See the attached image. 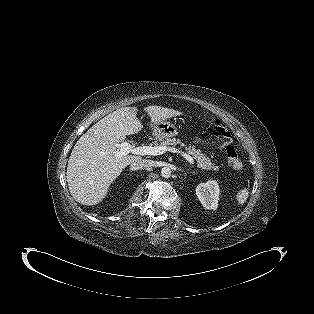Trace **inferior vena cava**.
Returning a JSON list of instances; mask_svg holds the SVG:
<instances>
[{
  "label": "inferior vena cava",
  "mask_w": 314,
  "mask_h": 314,
  "mask_svg": "<svg viewBox=\"0 0 314 314\" xmlns=\"http://www.w3.org/2000/svg\"><path fill=\"white\" fill-rule=\"evenodd\" d=\"M152 166V163L150 160H146V159H140L137 161H134L130 164V170L131 171H136V170H140V169H145V168H149Z\"/></svg>",
  "instance_id": "inferior-vena-cava-1"
}]
</instances>
